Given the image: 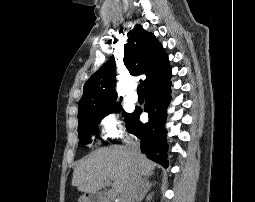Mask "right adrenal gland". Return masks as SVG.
Listing matches in <instances>:
<instances>
[{
	"label": "right adrenal gland",
	"mask_w": 255,
	"mask_h": 202,
	"mask_svg": "<svg viewBox=\"0 0 255 202\" xmlns=\"http://www.w3.org/2000/svg\"><path fill=\"white\" fill-rule=\"evenodd\" d=\"M143 181H144V184H145V186H146L145 193H147V192L151 189V187H152L153 185H156V182H155V183H151V182L149 181V177H148V176L145 177V178L143 179ZM142 199H143V198L138 199L137 202H140Z\"/></svg>",
	"instance_id": "2a0ac1e0"
}]
</instances>
